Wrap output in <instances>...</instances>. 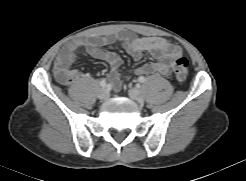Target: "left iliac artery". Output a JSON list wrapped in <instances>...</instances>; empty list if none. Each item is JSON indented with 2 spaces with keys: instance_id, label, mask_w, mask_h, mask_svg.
<instances>
[{
  "instance_id": "left-iliac-artery-1",
  "label": "left iliac artery",
  "mask_w": 246,
  "mask_h": 181,
  "mask_svg": "<svg viewBox=\"0 0 246 181\" xmlns=\"http://www.w3.org/2000/svg\"><path fill=\"white\" fill-rule=\"evenodd\" d=\"M145 77L144 76H140L139 78H138V81L140 82V83H144L145 82Z\"/></svg>"
}]
</instances>
